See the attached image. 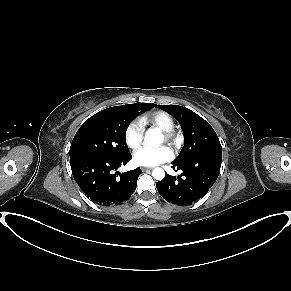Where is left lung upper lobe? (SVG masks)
I'll return each instance as SVG.
<instances>
[{"mask_svg":"<svg viewBox=\"0 0 291 291\" xmlns=\"http://www.w3.org/2000/svg\"><path fill=\"white\" fill-rule=\"evenodd\" d=\"M175 117L184 132V146L174 161H182L189 157L222 151L219 138L211 125L202 117L179 105H157Z\"/></svg>","mask_w":291,"mask_h":291,"instance_id":"left-lung-upper-lobe-1","label":"left lung upper lobe"}]
</instances>
